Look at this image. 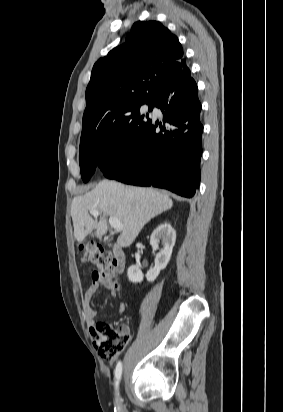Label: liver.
Segmentation results:
<instances>
[{
	"mask_svg": "<svg viewBox=\"0 0 283 412\" xmlns=\"http://www.w3.org/2000/svg\"><path fill=\"white\" fill-rule=\"evenodd\" d=\"M172 206V199L155 189L103 180L93 190L73 199L71 216L74 237L78 242H82L87 235L102 237L108 230L106 217L110 216L123 225L117 243L128 247L146 223ZM90 210L99 211V220L91 217ZM93 230L96 231L93 233Z\"/></svg>",
	"mask_w": 283,
	"mask_h": 412,
	"instance_id": "6515ba94",
	"label": "liver"
}]
</instances>
